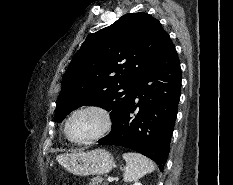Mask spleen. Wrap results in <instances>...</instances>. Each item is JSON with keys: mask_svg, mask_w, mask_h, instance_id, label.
I'll list each match as a JSON object with an SVG mask.
<instances>
[{"mask_svg": "<svg viewBox=\"0 0 233 185\" xmlns=\"http://www.w3.org/2000/svg\"><path fill=\"white\" fill-rule=\"evenodd\" d=\"M123 159L126 162L123 173L125 182L137 181L139 178L155 170L154 163L139 153H124Z\"/></svg>", "mask_w": 233, "mask_h": 185, "instance_id": "1", "label": "spleen"}]
</instances>
